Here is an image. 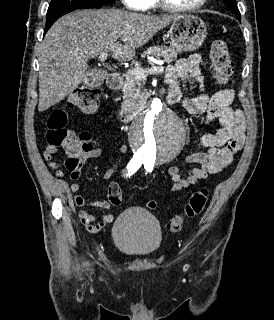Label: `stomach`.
Listing matches in <instances>:
<instances>
[{"label":"stomach","mask_w":274,"mask_h":320,"mask_svg":"<svg viewBox=\"0 0 274 320\" xmlns=\"http://www.w3.org/2000/svg\"><path fill=\"white\" fill-rule=\"evenodd\" d=\"M169 36L172 46L177 50L194 52L202 46L207 36V28L198 16L183 14V16H177L176 20H173Z\"/></svg>","instance_id":"stomach-1"}]
</instances>
